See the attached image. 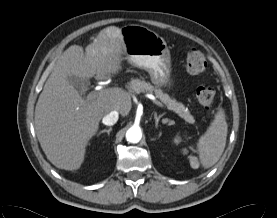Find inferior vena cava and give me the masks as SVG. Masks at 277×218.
Masks as SVG:
<instances>
[{"mask_svg":"<svg viewBox=\"0 0 277 218\" xmlns=\"http://www.w3.org/2000/svg\"><path fill=\"white\" fill-rule=\"evenodd\" d=\"M118 117H119V113L114 110L108 113L107 115H105L102 119V122L107 126H111L117 122Z\"/></svg>","mask_w":277,"mask_h":218,"instance_id":"inferior-vena-cava-1","label":"inferior vena cava"}]
</instances>
